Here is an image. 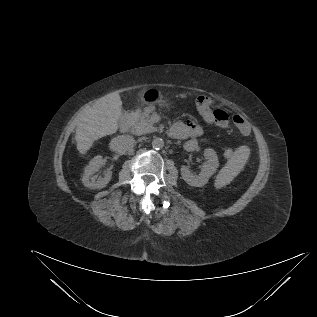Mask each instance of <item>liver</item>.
<instances>
[{"label":"liver","mask_w":317,"mask_h":317,"mask_svg":"<svg viewBox=\"0 0 317 317\" xmlns=\"http://www.w3.org/2000/svg\"><path fill=\"white\" fill-rule=\"evenodd\" d=\"M122 114V101L118 92L109 93L92 106H87L80 114L75 130L76 147L84 155L93 143L118 130V120Z\"/></svg>","instance_id":"obj_1"}]
</instances>
